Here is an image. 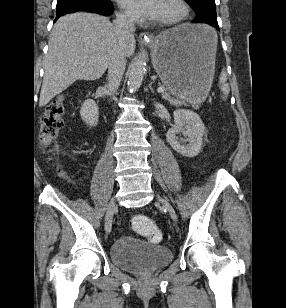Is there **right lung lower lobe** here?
<instances>
[{
  "label": "right lung lower lobe",
  "instance_id": "98d812e1",
  "mask_svg": "<svg viewBox=\"0 0 286 308\" xmlns=\"http://www.w3.org/2000/svg\"><path fill=\"white\" fill-rule=\"evenodd\" d=\"M112 3L109 5H100L97 3H88V4H72L68 6H63L61 8H57V16L54 22L61 16L67 13H73L77 11H86L98 13L104 16H109L113 12Z\"/></svg>",
  "mask_w": 286,
  "mask_h": 308
}]
</instances>
